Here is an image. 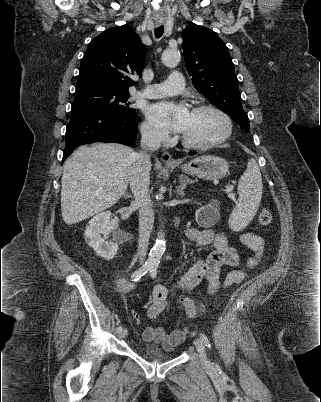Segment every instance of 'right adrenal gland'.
Listing matches in <instances>:
<instances>
[{
    "instance_id": "2a0ac1e0",
    "label": "right adrenal gland",
    "mask_w": 321,
    "mask_h": 402,
    "mask_svg": "<svg viewBox=\"0 0 321 402\" xmlns=\"http://www.w3.org/2000/svg\"><path fill=\"white\" fill-rule=\"evenodd\" d=\"M124 198H133L132 195L124 194Z\"/></svg>"
}]
</instances>
